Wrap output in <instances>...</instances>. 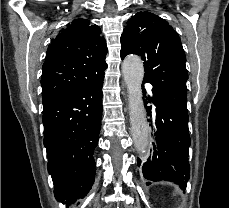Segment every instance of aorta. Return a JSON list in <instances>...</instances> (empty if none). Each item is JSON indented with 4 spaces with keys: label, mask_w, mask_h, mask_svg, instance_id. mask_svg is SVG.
Instances as JSON below:
<instances>
[{
    "label": "aorta",
    "mask_w": 229,
    "mask_h": 208,
    "mask_svg": "<svg viewBox=\"0 0 229 208\" xmlns=\"http://www.w3.org/2000/svg\"><path fill=\"white\" fill-rule=\"evenodd\" d=\"M122 73L128 91L134 146L139 153L145 154L149 147V126L143 103L144 67L140 57L136 55L127 56L122 64Z\"/></svg>",
    "instance_id": "762f6f07"
}]
</instances>
